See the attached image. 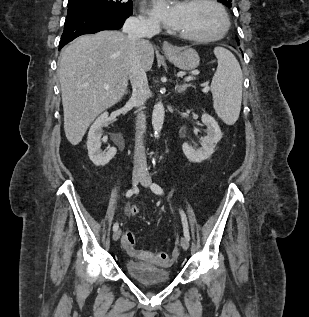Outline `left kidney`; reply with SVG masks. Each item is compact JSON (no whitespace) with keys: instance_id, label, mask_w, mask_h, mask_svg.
Listing matches in <instances>:
<instances>
[{"instance_id":"left-kidney-1","label":"left kidney","mask_w":309,"mask_h":317,"mask_svg":"<svg viewBox=\"0 0 309 317\" xmlns=\"http://www.w3.org/2000/svg\"><path fill=\"white\" fill-rule=\"evenodd\" d=\"M201 120L207 126V135L202 138V146L194 149L186 142L182 145L183 153L187 159L195 163H201L209 158L214 153L216 144L222 138L220 127L212 116L204 113Z\"/></svg>"}]
</instances>
